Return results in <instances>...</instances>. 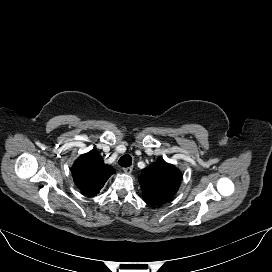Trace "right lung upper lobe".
<instances>
[{
  "mask_svg": "<svg viewBox=\"0 0 272 272\" xmlns=\"http://www.w3.org/2000/svg\"><path fill=\"white\" fill-rule=\"evenodd\" d=\"M115 170L104 164L103 158L90 151L81 155L72 167L73 179L82 193L95 196Z\"/></svg>",
  "mask_w": 272,
  "mask_h": 272,
  "instance_id": "cb5924a9",
  "label": "right lung upper lobe"
}]
</instances>
